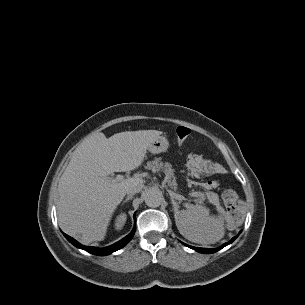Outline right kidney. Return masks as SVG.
I'll list each match as a JSON object with an SVG mask.
<instances>
[{
  "label": "right kidney",
  "instance_id": "ca27d5eb",
  "mask_svg": "<svg viewBox=\"0 0 305 305\" xmlns=\"http://www.w3.org/2000/svg\"><path fill=\"white\" fill-rule=\"evenodd\" d=\"M126 222V214H120L115 220V229L121 230Z\"/></svg>",
  "mask_w": 305,
  "mask_h": 305
}]
</instances>
